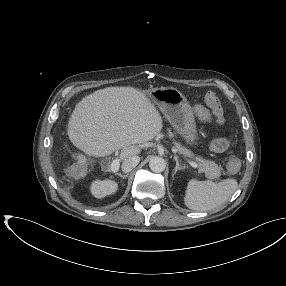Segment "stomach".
<instances>
[{
    "mask_svg": "<svg viewBox=\"0 0 286 286\" xmlns=\"http://www.w3.org/2000/svg\"><path fill=\"white\" fill-rule=\"evenodd\" d=\"M187 144H197L194 114L186 97L176 88L161 87L145 92Z\"/></svg>",
    "mask_w": 286,
    "mask_h": 286,
    "instance_id": "obj_1",
    "label": "stomach"
}]
</instances>
